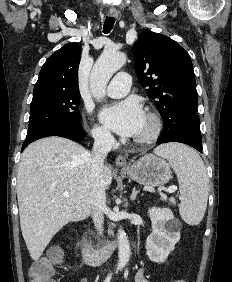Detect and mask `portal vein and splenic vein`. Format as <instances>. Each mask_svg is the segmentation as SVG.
Returning <instances> with one entry per match:
<instances>
[{"instance_id": "portal-vein-and-splenic-vein-1", "label": "portal vein and splenic vein", "mask_w": 232, "mask_h": 282, "mask_svg": "<svg viewBox=\"0 0 232 282\" xmlns=\"http://www.w3.org/2000/svg\"><path fill=\"white\" fill-rule=\"evenodd\" d=\"M167 191H168V193H174V192L177 191V187H176L175 185L170 186V187H168ZM63 196H64V197H69V192L65 191V192L63 193Z\"/></svg>"}]
</instances>
